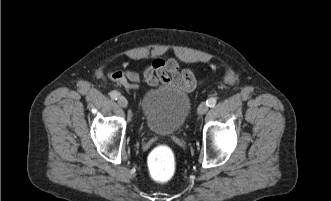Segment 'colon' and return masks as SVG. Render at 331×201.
<instances>
[{
	"label": "colon",
	"mask_w": 331,
	"mask_h": 201,
	"mask_svg": "<svg viewBox=\"0 0 331 201\" xmlns=\"http://www.w3.org/2000/svg\"><path fill=\"white\" fill-rule=\"evenodd\" d=\"M149 171L157 182H167L175 171V159L172 151L165 146L155 148L149 156Z\"/></svg>",
	"instance_id": "obj_1"
}]
</instances>
